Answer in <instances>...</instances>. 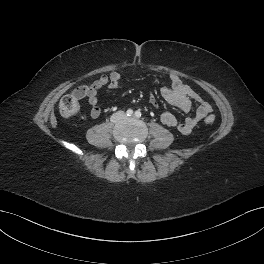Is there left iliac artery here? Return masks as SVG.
Instances as JSON below:
<instances>
[{
  "label": "left iliac artery",
  "mask_w": 264,
  "mask_h": 264,
  "mask_svg": "<svg viewBox=\"0 0 264 264\" xmlns=\"http://www.w3.org/2000/svg\"><path fill=\"white\" fill-rule=\"evenodd\" d=\"M135 116L138 117V118L141 117V112L140 111H136L135 112Z\"/></svg>",
  "instance_id": "1"
}]
</instances>
